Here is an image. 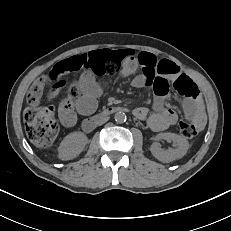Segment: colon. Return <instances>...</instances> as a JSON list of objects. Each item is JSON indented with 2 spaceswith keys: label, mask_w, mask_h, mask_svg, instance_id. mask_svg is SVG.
Returning <instances> with one entry per match:
<instances>
[{
  "label": "colon",
  "mask_w": 231,
  "mask_h": 231,
  "mask_svg": "<svg viewBox=\"0 0 231 231\" xmlns=\"http://www.w3.org/2000/svg\"><path fill=\"white\" fill-rule=\"evenodd\" d=\"M65 84L66 79L63 76L56 77L54 72L48 71L33 83L27 93L28 107L24 112V124L29 139L37 147H49L58 133L54 108L43 104V98H53ZM170 85L183 97L195 99L199 96L197 85L185 74L175 77L170 82L157 78L154 91L165 96ZM178 127L180 134L185 138L190 139L198 134L197 126L188 121L181 120Z\"/></svg>",
  "instance_id": "1"
}]
</instances>
